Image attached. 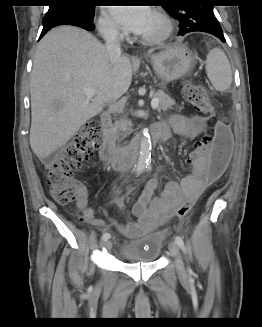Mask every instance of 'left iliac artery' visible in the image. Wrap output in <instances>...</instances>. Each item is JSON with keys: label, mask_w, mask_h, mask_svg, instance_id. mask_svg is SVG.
<instances>
[{"label": "left iliac artery", "mask_w": 262, "mask_h": 327, "mask_svg": "<svg viewBox=\"0 0 262 327\" xmlns=\"http://www.w3.org/2000/svg\"><path fill=\"white\" fill-rule=\"evenodd\" d=\"M175 242L177 243V245L181 248V249H185L184 247V241L183 239L180 237V236H176L175 237ZM188 272L191 274L192 273V270L191 268H188Z\"/></svg>", "instance_id": "44dca946"}]
</instances>
